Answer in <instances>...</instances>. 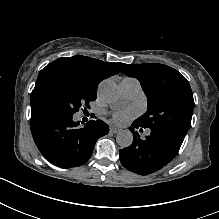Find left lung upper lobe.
Masks as SVG:
<instances>
[{
  "label": "left lung upper lobe",
  "instance_id": "left-lung-upper-lobe-1",
  "mask_svg": "<svg viewBox=\"0 0 219 219\" xmlns=\"http://www.w3.org/2000/svg\"><path fill=\"white\" fill-rule=\"evenodd\" d=\"M122 72L139 80L147 96L148 109L135 121L144 128L164 130L185 138L191 126L194 99L186 78L162 64L124 66Z\"/></svg>",
  "mask_w": 219,
  "mask_h": 219
}]
</instances>
